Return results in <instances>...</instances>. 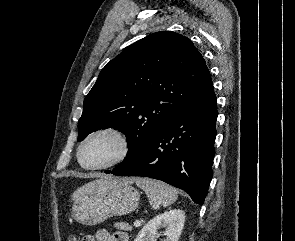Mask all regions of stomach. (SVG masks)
<instances>
[{
	"instance_id": "0dacf381",
	"label": "stomach",
	"mask_w": 295,
	"mask_h": 241,
	"mask_svg": "<svg viewBox=\"0 0 295 241\" xmlns=\"http://www.w3.org/2000/svg\"><path fill=\"white\" fill-rule=\"evenodd\" d=\"M139 198L138 191L125 179L95 183L74 199L72 216L83 225H97L109 217L132 212Z\"/></svg>"
}]
</instances>
